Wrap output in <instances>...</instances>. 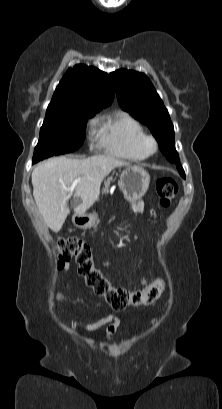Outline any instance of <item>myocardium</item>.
<instances>
[{
	"instance_id": "obj_1",
	"label": "myocardium",
	"mask_w": 222,
	"mask_h": 409,
	"mask_svg": "<svg viewBox=\"0 0 222 409\" xmlns=\"http://www.w3.org/2000/svg\"><path fill=\"white\" fill-rule=\"evenodd\" d=\"M140 146L147 156L154 154L158 149V143L156 138L150 134H144V136L141 139Z\"/></svg>"
}]
</instances>
